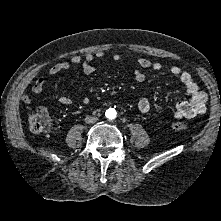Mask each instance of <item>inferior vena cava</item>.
Returning <instances> with one entry per match:
<instances>
[{
	"label": "inferior vena cava",
	"instance_id": "1",
	"mask_svg": "<svg viewBox=\"0 0 221 221\" xmlns=\"http://www.w3.org/2000/svg\"><path fill=\"white\" fill-rule=\"evenodd\" d=\"M97 120H98V118L95 117V116H87V117L85 118V122L88 123V124H93V123H95Z\"/></svg>",
	"mask_w": 221,
	"mask_h": 221
}]
</instances>
